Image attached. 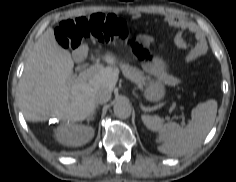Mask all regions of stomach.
Instances as JSON below:
<instances>
[{
	"mask_svg": "<svg viewBox=\"0 0 236 182\" xmlns=\"http://www.w3.org/2000/svg\"><path fill=\"white\" fill-rule=\"evenodd\" d=\"M144 70L156 77V81L147 84L144 96L151 102H158L165 96V84L168 79L167 64L159 56L151 61L148 58L142 59Z\"/></svg>",
	"mask_w": 236,
	"mask_h": 182,
	"instance_id": "0dacf381",
	"label": "stomach"
}]
</instances>
